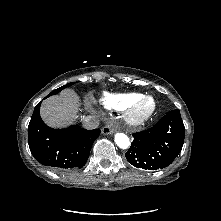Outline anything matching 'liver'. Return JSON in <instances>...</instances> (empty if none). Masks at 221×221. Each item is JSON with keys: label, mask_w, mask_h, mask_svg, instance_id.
<instances>
[{"label": "liver", "mask_w": 221, "mask_h": 221, "mask_svg": "<svg viewBox=\"0 0 221 221\" xmlns=\"http://www.w3.org/2000/svg\"><path fill=\"white\" fill-rule=\"evenodd\" d=\"M79 100L73 90L66 89L60 95L46 99L40 113L43 121L53 128H64L78 117Z\"/></svg>", "instance_id": "obj_1"}]
</instances>
